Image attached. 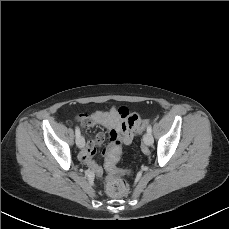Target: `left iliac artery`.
I'll list each match as a JSON object with an SVG mask.
<instances>
[{
  "label": "left iliac artery",
  "mask_w": 229,
  "mask_h": 229,
  "mask_svg": "<svg viewBox=\"0 0 229 229\" xmlns=\"http://www.w3.org/2000/svg\"><path fill=\"white\" fill-rule=\"evenodd\" d=\"M147 132H148V133H151V132H152V127H151V125H149V126L147 127Z\"/></svg>",
  "instance_id": "obj_1"
}]
</instances>
